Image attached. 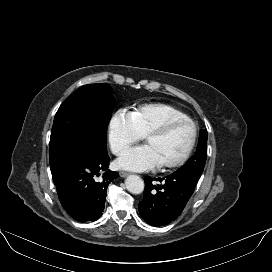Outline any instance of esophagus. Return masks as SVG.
I'll return each mask as SVG.
<instances>
[{
    "mask_svg": "<svg viewBox=\"0 0 272 272\" xmlns=\"http://www.w3.org/2000/svg\"><path fill=\"white\" fill-rule=\"evenodd\" d=\"M119 175H120V177L124 178V177L128 176V173L124 172V171H120Z\"/></svg>",
    "mask_w": 272,
    "mask_h": 272,
    "instance_id": "1",
    "label": "esophagus"
}]
</instances>
